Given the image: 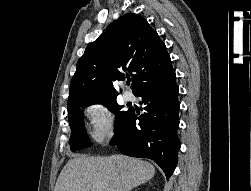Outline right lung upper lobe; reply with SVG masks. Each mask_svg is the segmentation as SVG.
Masks as SVG:
<instances>
[{
  "label": "right lung upper lobe",
  "mask_w": 251,
  "mask_h": 191,
  "mask_svg": "<svg viewBox=\"0 0 251 191\" xmlns=\"http://www.w3.org/2000/svg\"><path fill=\"white\" fill-rule=\"evenodd\" d=\"M132 76V92L159 83L174 70L165 44L146 19L127 13L90 43L77 62L68 108L116 99L114 82Z\"/></svg>",
  "instance_id": "1"
}]
</instances>
